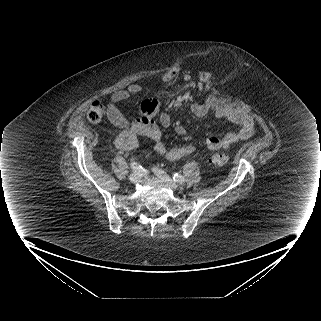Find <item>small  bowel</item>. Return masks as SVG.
Here are the masks:
<instances>
[{"label": "small bowel", "mask_w": 321, "mask_h": 321, "mask_svg": "<svg viewBox=\"0 0 321 321\" xmlns=\"http://www.w3.org/2000/svg\"><path fill=\"white\" fill-rule=\"evenodd\" d=\"M139 88L132 86L128 90L118 91L111 96L108 101V116L112 124L123 129L116 139V146L122 151L135 149L139 143V136H147L154 141L155 153L167 160L175 161L186 157L194 152L192 146H181L168 149L162 142L161 131L155 121L158 118L163 127H168L171 123L170 115L162 109L161 103L157 99H148L141 106L144 117L132 124L128 123L127 118L119 109V103L138 93ZM213 108L211 102L194 104L190 107L191 113L196 117H203ZM215 116L218 119L226 120L232 124L238 125L240 129L237 132H230L224 136H209L206 139V146L210 150L221 148H230L241 140H247L255 132V124L250 115L232 108L220 107L215 110ZM175 132L183 136L186 133L185 128L178 124L175 126Z\"/></svg>", "instance_id": "small-bowel-1"}]
</instances>
